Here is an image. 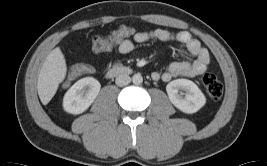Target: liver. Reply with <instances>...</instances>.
<instances>
[{
  "mask_svg": "<svg viewBox=\"0 0 267 166\" xmlns=\"http://www.w3.org/2000/svg\"><path fill=\"white\" fill-rule=\"evenodd\" d=\"M67 73L64 55L59 47L53 49L46 57L37 80V91L43 105L54 97Z\"/></svg>",
  "mask_w": 267,
  "mask_h": 166,
  "instance_id": "6515ba94",
  "label": "liver"
}]
</instances>
